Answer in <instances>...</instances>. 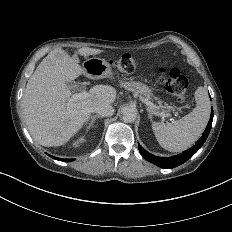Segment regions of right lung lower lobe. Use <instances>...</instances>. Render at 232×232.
<instances>
[{"label":"right lung lower lobe","instance_id":"obj_1","mask_svg":"<svg viewBox=\"0 0 232 232\" xmlns=\"http://www.w3.org/2000/svg\"><path fill=\"white\" fill-rule=\"evenodd\" d=\"M50 157H52L56 160L64 161V162H70V161L74 160V159H61V158H57V157H53V156H50Z\"/></svg>","mask_w":232,"mask_h":232}]
</instances>
